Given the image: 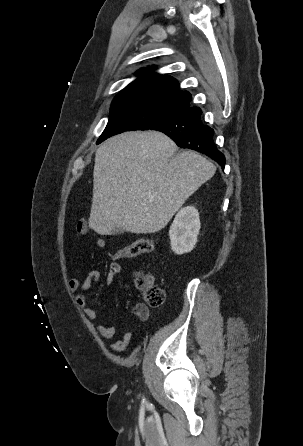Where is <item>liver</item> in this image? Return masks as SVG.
I'll list each match as a JSON object with an SVG mask.
<instances>
[{
  "label": "liver",
  "mask_w": 303,
  "mask_h": 446,
  "mask_svg": "<svg viewBox=\"0 0 303 446\" xmlns=\"http://www.w3.org/2000/svg\"><path fill=\"white\" fill-rule=\"evenodd\" d=\"M157 131L125 132L96 150L89 227L150 234L163 229L216 167Z\"/></svg>",
  "instance_id": "liver-1"
}]
</instances>
